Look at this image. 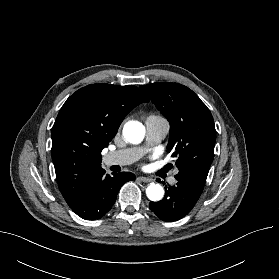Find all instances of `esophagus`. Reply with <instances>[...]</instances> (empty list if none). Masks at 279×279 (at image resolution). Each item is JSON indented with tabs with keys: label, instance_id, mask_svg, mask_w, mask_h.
I'll use <instances>...</instances> for the list:
<instances>
[{
	"label": "esophagus",
	"instance_id": "obj_1",
	"mask_svg": "<svg viewBox=\"0 0 279 279\" xmlns=\"http://www.w3.org/2000/svg\"><path fill=\"white\" fill-rule=\"evenodd\" d=\"M138 179H139L140 181H142V182H145V183H148V182H152V181H153V179L148 178V177H139Z\"/></svg>",
	"mask_w": 279,
	"mask_h": 279
}]
</instances>
